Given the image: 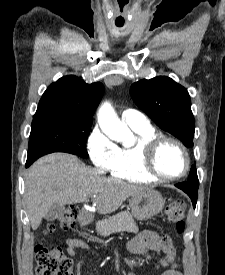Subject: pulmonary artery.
<instances>
[{"mask_svg": "<svg viewBox=\"0 0 225 275\" xmlns=\"http://www.w3.org/2000/svg\"><path fill=\"white\" fill-rule=\"evenodd\" d=\"M122 120L130 127H143L148 126L149 121L144 114L134 109H126L122 112Z\"/></svg>", "mask_w": 225, "mask_h": 275, "instance_id": "1", "label": "pulmonary artery"}]
</instances>
